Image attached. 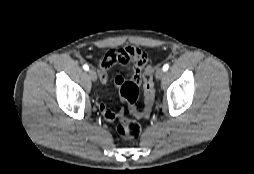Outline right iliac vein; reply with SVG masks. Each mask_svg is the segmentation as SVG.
<instances>
[{"instance_id":"right-iliac-vein-1","label":"right iliac vein","mask_w":254,"mask_h":174,"mask_svg":"<svg viewBox=\"0 0 254 174\" xmlns=\"http://www.w3.org/2000/svg\"><path fill=\"white\" fill-rule=\"evenodd\" d=\"M88 75H89L90 79H91L93 82H95V81L97 80V74H96V72H95L93 69H90V70L88 71Z\"/></svg>"}]
</instances>
